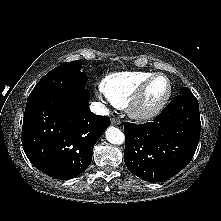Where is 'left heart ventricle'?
Returning <instances> with one entry per match:
<instances>
[{"mask_svg":"<svg viewBox=\"0 0 221 221\" xmlns=\"http://www.w3.org/2000/svg\"><path fill=\"white\" fill-rule=\"evenodd\" d=\"M168 90V83L165 78H156L149 86L145 99L144 107L151 108L155 106L165 96Z\"/></svg>","mask_w":221,"mask_h":221,"instance_id":"obj_1","label":"left heart ventricle"}]
</instances>
